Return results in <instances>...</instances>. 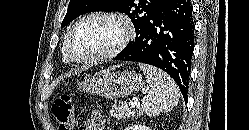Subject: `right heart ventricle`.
Returning <instances> with one entry per match:
<instances>
[{
  "label": "right heart ventricle",
  "instance_id": "1",
  "mask_svg": "<svg viewBox=\"0 0 249 130\" xmlns=\"http://www.w3.org/2000/svg\"><path fill=\"white\" fill-rule=\"evenodd\" d=\"M66 36L64 37V42H63V46H62V56H63V60L66 61V62H68L69 60L66 57L65 52H64V43H65V40H66Z\"/></svg>",
  "mask_w": 249,
  "mask_h": 130
}]
</instances>
